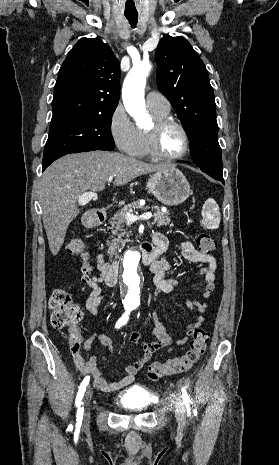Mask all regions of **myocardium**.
Listing matches in <instances>:
<instances>
[{"instance_id":"myocardium-1","label":"myocardium","mask_w":279,"mask_h":465,"mask_svg":"<svg viewBox=\"0 0 279 465\" xmlns=\"http://www.w3.org/2000/svg\"><path fill=\"white\" fill-rule=\"evenodd\" d=\"M168 126H176L180 130L183 138L182 150L174 155L164 154L159 148L160 134ZM147 140L150 154L155 158L164 161H176L182 159L186 156L190 147V139L185 126L178 120L170 117L155 120L153 125L147 130Z\"/></svg>"}]
</instances>
